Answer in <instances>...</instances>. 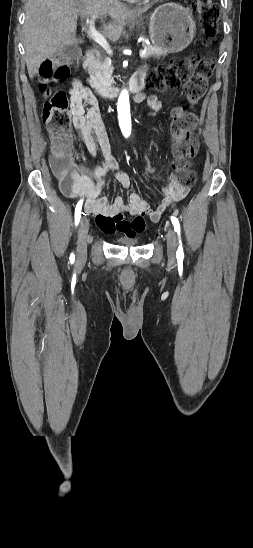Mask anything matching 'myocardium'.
<instances>
[{
  "label": "myocardium",
  "instance_id": "obj_1",
  "mask_svg": "<svg viewBox=\"0 0 253 548\" xmlns=\"http://www.w3.org/2000/svg\"><path fill=\"white\" fill-rule=\"evenodd\" d=\"M151 1H163V0H151Z\"/></svg>",
  "mask_w": 253,
  "mask_h": 548
}]
</instances>
